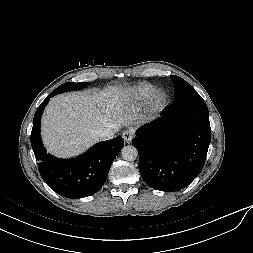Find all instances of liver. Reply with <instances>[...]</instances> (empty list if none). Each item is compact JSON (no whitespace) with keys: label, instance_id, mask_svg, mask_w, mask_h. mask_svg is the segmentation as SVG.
<instances>
[{"label":"liver","instance_id":"1","mask_svg":"<svg viewBox=\"0 0 253 253\" xmlns=\"http://www.w3.org/2000/svg\"><path fill=\"white\" fill-rule=\"evenodd\" d=\"M127 94L117 87L101 93H63L53 97L42 116L43 143L51 154L74 157L97 143L94 131L111 125L129 124L123 101Z\"/></svg>","mask_w":253,"mask_h":253}]
</instances>
